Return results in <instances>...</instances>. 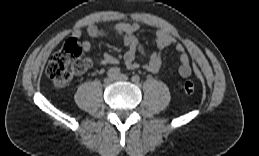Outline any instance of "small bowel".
I'll return each mask as SVG.
<instances>
[{"label":"small bowel","instance_id":"1","mask_svg":"<svg viewBox=\"0 0 259 156\" xmlns=\"http://www.w3.org/2000/svg\"><path fill=\"white\" fill-rule=\"evenodd\" d=\"M140 29V25L137 22L131 23H117L108 29H102L96 25H90L86 29V34L91 38H101L108 35H113L116 38L121 39L127 47V51L123 56L124 63L128 69H137L139 67L145 70L156 73L162 66V52L163 50L175 44L177 52H179L180 65L178 73L181 77H188L192 73L191 63L189 55L185 52V47L182 43H177L175 38L167 31L159 29L155 32V44L156 50L153 51L148 58V61L144 64H140L136 61V56L140 55L145 57L147 55L144 46L141 44L136 36V32ZM83 31L76 29L72 32V37L75 40L81 39ZM81 47L84 51H89L91 44L89 41H82ZM101 65H113L118 63V58L110 53H105L100 59Z\"/></svg>","mask_w":259,"mask_h":156}]
</instances>
